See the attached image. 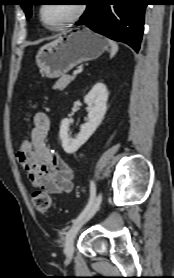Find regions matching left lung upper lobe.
<instances>
[{
  "label": "left lung upper lobe",
  "instance_id": "1",
  "mask_svg": "<svg viewBox=\"0 0 174 278\" xmlns=\"http://www.w3.org/2000/svg\"><path fill=\"white\" fill-rule=\"evenodd\" d=\"M36 0H22L21 6L26 13V17L30 18L32 15L31 7L35 4Z\"/></svg>",
  "mask_w": 174,
  "mask_h": 278
}]
</instances>
